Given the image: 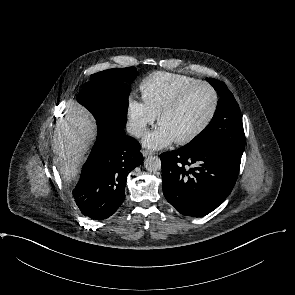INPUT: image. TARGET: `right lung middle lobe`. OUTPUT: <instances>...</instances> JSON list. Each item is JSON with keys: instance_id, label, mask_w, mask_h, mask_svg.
<instances>
[{"instance_id": "obj_1", "label": "right lung middle lobe", "mask_w": 295, "mask_h": 295, "mask_svg": "<svg viewBox=\"0 0 295 295\" xmlns=\"http://www.w3.org/2000/svg\"><path fill=\"white\" fill-rule=\"evenodd\" d=\"M135 67L108 69L91 75L77 95L96 121L125 127L127 121L129 88L126 82L134 80Z\"/></svg>"}]
</instances>
